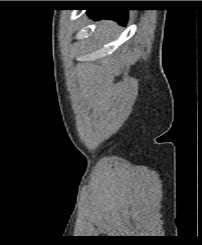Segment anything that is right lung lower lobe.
<instances>
[{"instance_id": "right-lung-lower-lobe-1", "label": "right lung lower lobe", "mask_w": 202, "mask_h": 245, "mask_svg": "<svg viewBox=\"0 0 202 245\" xmlns=\"http://www.w3.org/2000/svg\"><path fill=\"white\" fill-rule=\"evenodd\" d=\"M88 14L93 19L108 18L118 21L120 24L125 25L127 22V10L116 9H92L88 10Z\"/></svg>"}]
</instances>
